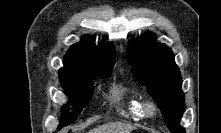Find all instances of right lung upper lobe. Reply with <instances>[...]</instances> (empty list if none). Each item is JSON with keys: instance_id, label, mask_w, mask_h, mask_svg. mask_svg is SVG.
<instances>
[{"instance_id": "obj_1", "label": "right lung upper lobe", "mask_w": 221, "mask_h": 133, "mask_svg": "<svg viewBox=\"0 0 221 133\" xmlns=\"http://www.w3.org/2000/svg\"><path fill=\"white\" fill-rule=\"evenodd\" d=\"M115 56L114 44H101L96 47L85 36L67 52L63 60L64 67L60 69L59 76H65L94 66L114 65Z\"/></svg>"}]
</instances>
